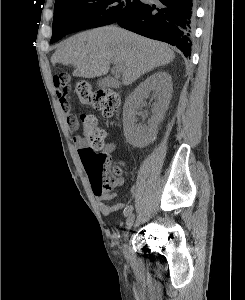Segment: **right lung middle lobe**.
Returning a JSON list of instances; mask_svg holds the SVG:
<instances>
[{"label": "right lung middle lobe", "instance_id": "right-lung-middle-lobe-1", "mask_svg": "<svg viewBox=\"0 0 245 300\" xmlns=\"http://www.w3.org/2000/svg\"><path fill=\"white\" fill-rule=\"evenodd\" d=\"M142 0H58L54 6L53 35L50 43L60 40L64 31L56 27L59 20L76 26L77 30L115 23L130 14Z\"/></svg>", "mask_w": 245, "mask_h": 300}]
</instances>
